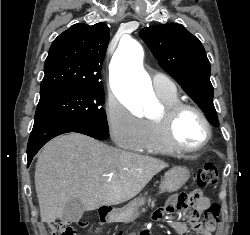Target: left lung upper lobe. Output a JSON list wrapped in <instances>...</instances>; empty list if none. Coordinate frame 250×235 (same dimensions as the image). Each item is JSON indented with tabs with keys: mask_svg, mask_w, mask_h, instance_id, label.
<instances>
[{
	"mask_svg": "<svg viewBox=\"0 0 250 235\" xmlns=\"http://www.w3.org/2000/svg\"><path fill=\"white\" fill-rule=\"evenodd\" d=\"M140 37L160 66L182 86L206 118L218 126L210 63L199 39L177 23L143 28Z\"/></svg>",
	"mask_w": 250,
	"mask_h": 235,
	"instance_id": "5c2ea615",
	"label": "left lung upper lobe"
}]
</instances>
